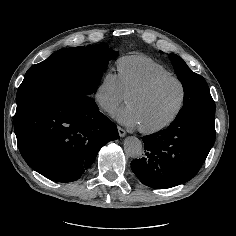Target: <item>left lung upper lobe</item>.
<instances>
[{"label":"left lung upper lobe","mask_w":236,"mask_h":236,"mask_svg":"<svg viewBox=\"0 0 236 236\" xmlns=\"http://www.w3.org/2000/svg\"><path fill=\"white\" fill-rule=\"evenodd\" d=\"M184 90V104L176 118L190 114L215 115V103L204 78L194 73L177 55L169 54Z\"/></svg>","instance_id":"left-lung-upper-lobe-1"}]
</instances>
